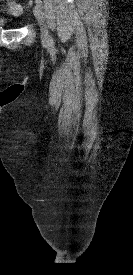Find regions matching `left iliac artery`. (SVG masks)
Returning a JSON list of instances; mask_svg holds the SVG:
<instances>
[{
	"label": "left iliac artery",
	"mask_w": 133,
	"mask_h": 275,
	"mask_svg": "<svg viewBox=\"0 0 133 275\" xmlns=\"http://www.w3.org/2000/svg\"><path fill=\"white\" fill-rule=\"evenodd\" d=\"M36 5L40 6L42 8V1L41 0H35ZM50 42L53 43V38L50 37Z\"/></svg>",
	"instance_id": "44dca946"
}]
</instances>
